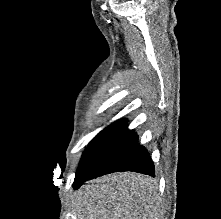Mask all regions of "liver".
Returning a JSON list of instances; mask_svg holds the SVG:
<instances>
[{"label": "liver", "mask_w": 221, "mask_h": 219, "mask_svg": "<svg viewBox=\"0 0 221 219\" xmlns=\"http://www.w3.org/2000/svg\"><path fill=\"white\" fill-rule=\"evenodd\" d=\"M74 208L77 219H159L161 197L149 176L122 172L89 181Z\"/></svg>", "instance_id": "6515ba94"}]
</instances>
